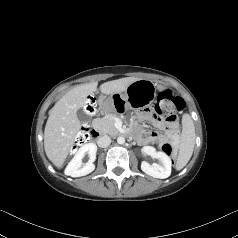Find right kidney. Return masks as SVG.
I'll return each mask as SVG.
<instances>
[{
	"instance_id": "right-kidney-1",
	"label": "right kidney",
	"mask_w": 238,
	"mask_h": 238,
	"mask_svg": "<svg viewBox=\"0 0 238 238\" xmlns=\"http://www.w3.org/2000/svg\"><path fill=\"white\" fill-rule=\"evenodd\" d=\"M97 146L94 143H88L79 148L75 156L69 162L65 169V174L72 177L85 176L95 169L94 161L96 159ZM88 154L89 160L83 165L82 159Z\"/></svg>"
}]
</instances>
